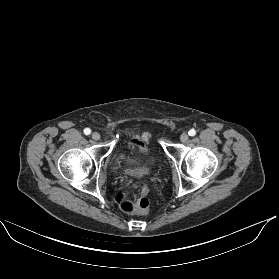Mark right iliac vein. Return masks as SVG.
I'll return each mask as SVG.
<instances>
[{"instance_id": "63e3f726", "label": "right iliac vein", "mask_w": 279, "mask_h": 279, "mask_svg": "<svg viewBox=\"0 0 279 279\" xmlns=\"http://www.w3.org/2000/svg\"><path fill=\"white\" fill-rule=\"evenodd\" d=\"M100 138H101V135H100L98 132H94V133L92 134V139H93V140L97 141V140H99Z\"/></svg>"}]
</instances>
